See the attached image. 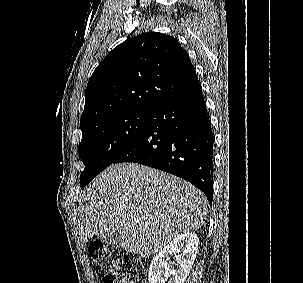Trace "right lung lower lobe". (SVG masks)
<instances>
[{"label": "right lung lower lobe", "instance_id": "right-lung-lower-lobe-1", "mask_svg": "<svg viewBox=\"0 0 303 283\" xmlns=\"http://www.w3.org/2000/svg\"><path fill=\"white\" fill-rule=\"evenodd\" d=\"M135 162L185 179L213 200V135L201 86L166 103L113 163Z\"/></svg>", "mask_w": 303, "mask_h": 283}]
</instances>
